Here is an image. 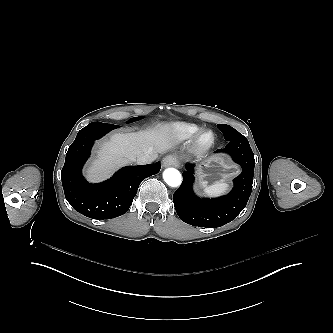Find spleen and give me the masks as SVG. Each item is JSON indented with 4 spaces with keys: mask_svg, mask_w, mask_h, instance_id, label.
Instances as JSON below:
<instances>
[{
    "mask_svg": "<svg viewBox=\"0 0 333 333\" xmlns=\"http://www.w3.org/2000/svg\"><path fill=\"white\" fill-rule=\"evenodd\" d=\"M229 189V183H227L225 179H222L212 185L204 187V193L209 197H217L226 194Z\"/></svg>",
    "mask_w": 333,
    "mask_h": 333,
    "instance_id": "spleen-1",
    "label": "spleen"
}]
</instances>
